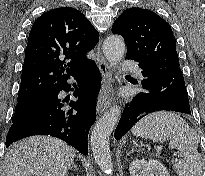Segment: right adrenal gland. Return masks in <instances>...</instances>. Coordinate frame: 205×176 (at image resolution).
Returning <instances> with one entry per match:
<instances>
[{"label":"right adrenal gland","instance_id":"right-adrenal-gland-1","mask_svg":"<svg viewBox=\"0 0 205 176\" xmlns=\"http://www.w3.org/2000/svg\"><path fill=\"white\" fill-rule=\"evenodd\" d=\"M74 168V169H79L74 163L72 164L71 166V169Z\"/></svg>","mask_w":205,"mask_h":176}]
</instances>
